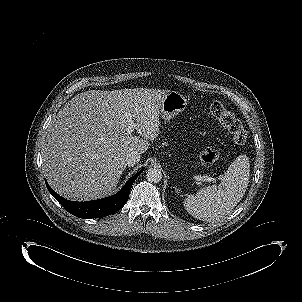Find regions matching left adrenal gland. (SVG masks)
I'll use <instances>...</instances> for the list:
<instances>
[{
  "mask_svg": "<svg viewBox=\"0 0 302 302\" xmlns=\"http://www.w3.org/2000/svg\"><path fill=\"white\" fill-rule=\"evenodd\" d=\"M176 191H177L178 193H180V189H179V188H177Z\"/></svg>",
  "mask_w": 302,
  "mask_h": 302,
  "instance_id": "obj_1",
  "label": "left adrenal gland"
}]
</instances>
